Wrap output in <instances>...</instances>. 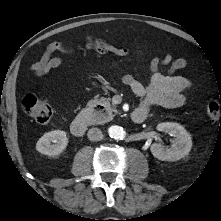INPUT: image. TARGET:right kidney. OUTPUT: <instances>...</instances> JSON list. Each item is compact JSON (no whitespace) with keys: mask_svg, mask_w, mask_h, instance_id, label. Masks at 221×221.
I'll use <instances>...</instances> for the list:
<instances>
[{"mask_svg":"<svg viewBox=\"0 0 221 221\" xmlns=\"http://www.w3.org/2000/svg\"><path fill=\"white\" fill-rule=\"evenodd\" d=\"M54 143V144H51ZM68 138L65 131L54 130L45 133L36 144V149L41 154L55 156L67 147Z\"/></svg>","mask_w":221,"mask_h":221,"instance_id":"1","label":"right kidney"}]
</instances>
